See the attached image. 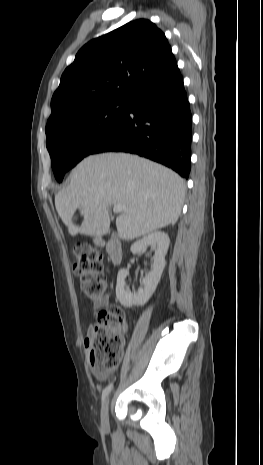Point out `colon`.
<instances>
[{
    "label": "colon",
    "mask_w": 263,
    "mask_h": 465,
    "mask_svg": "<svg viewBox=\"0 0 263 465\" xmlns=\"http://www.w3.org/2000/svg\"><path fill=\"white\" fill-rule=\"evenodd\" d=\"M74 273L79 276L85 295L96 300L103 297L106 278L99 252L86 244L75 248ZM125 316L118 306H110L97 314L85 343L90 349L89 360L94 370L108 372L117 367L122 359Z\"/></svg>",
    "instance_id": "obj_1"
}]
</instances>
